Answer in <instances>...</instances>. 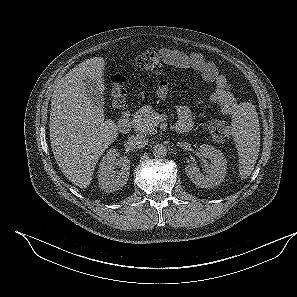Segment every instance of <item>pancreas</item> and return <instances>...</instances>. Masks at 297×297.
<instances>
[{
	"label": "pancreas",
	"mask_w": 297,
	"mask_h": 297,
	"mask_svg": "<svg viewBox=\"0 0 297 297\" xmlns=\"http://www.w3.org/2000/svg\"><path fill=\"white\" fill-rule=\"evenodd\" d=\"M158 114L154 112V109L145 105L140 108L132 119V126L138 133L151 135L156 132V126L158 121L156 120V116Z\"/></svg>",
	"instance_id": "obj_1"
}]
</instances>
